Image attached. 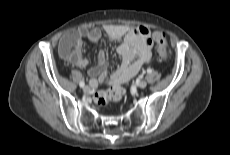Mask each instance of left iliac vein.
Here are the masks:
<instances>
[{"instance_id":"1","label":"left iliac vein","mask_w":230,"mask_h":155,"mask_svg":"<svg viewBox=\"0 0 230 155\" xmlns=\"http://www.w3.org/2000/svg\"><path fill=\"white\" fill-rule=\"evenodd\" d=\"M137 86L141 89L145 88L147 86V82L145 80H140L138 83H137Z\"/></svg>"}]
</instances>
